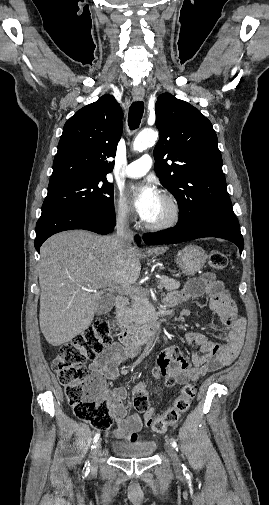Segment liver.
Instances as JSON below:
<instances>
[{"instance_id": "1", "label": "liver", "mask_w": 269, "mask_h": 505, "mask_svg": "<svg viewBox=\"0 0 269 505\" xmlns=\"http://www.w3.org/2000/svg\"><path fill=\"white\" fill-rule=\"evenodd\" d=\"M166 250L156 247L147 253L160 255ZM40 255V329L52 346L71 341L90 326L106 291L134 284L145 256L116 236L84 230L53 235L41 246Z\"/></svg>"}]
</instances>
